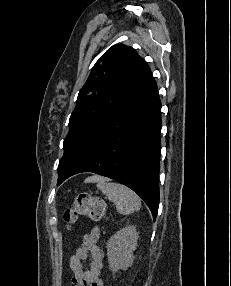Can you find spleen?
<instances>
[{
  "mask_svg": "<svg viewBox=\"0 0 231 286\" xmlns=\"http://www.w3.org/2000/svg\"><path fill=\"white\" fill-rule=\"evenodd\" d=\"M97 188L113 202L120 214L127 215L138 211L141 207L140 197L128 187L106 179L97 181Z\"/></svg>",
  "mask_w": 231,
  "mask_h": 286,
  "instance_id": "1",
  "label": "spleen"
}]
</instances>
